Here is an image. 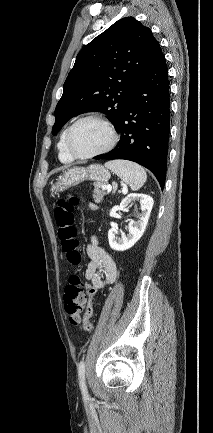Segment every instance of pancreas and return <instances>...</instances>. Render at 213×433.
Here are the masks:
<instances>
[{
    "instance_id": "cf45deb5",
    "label": "pancreas",
    "mask_w": 213,
    "mask_h": 433,
    "mask_svg": "<svg viewBox=\"0 0 213 433\" xmlns=\"http://www.w3.org/2000/svg\"><path fill=\"white\" fill-rule=\"evenodd\" d=\"M94 187V200L96 203H100L103 200L106 192L104 191L102 184L95 183Z\"/></svg>"
}]
</instances>
